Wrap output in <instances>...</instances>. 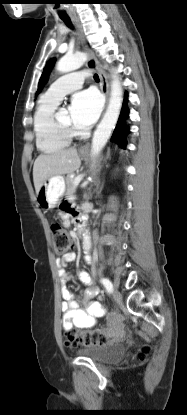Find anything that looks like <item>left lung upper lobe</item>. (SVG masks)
Here are the masks:
<instances>
[{
	"label": "left lung upper lobe",
	"mask_w": 187,
	"mask_h": 415,
	"mask_svg": "<svg viewBox=\"0 0 187 415\" xmlns=\"http://www.w3.org/2000/svg\"><path fill=\"white\" fill-rule=\"evenodd\" d=\"M55 62V59H50L46 66L44 67L43 73L41 75V78L39 80V84H38V90L36 92V95L40 93V91L42 90L43 86L46 84L49 73L51 68L53 67V64Z\"/></svg>",
	"instance_id": "1"
}]
</instances>
